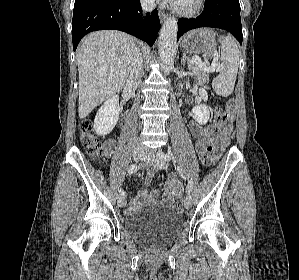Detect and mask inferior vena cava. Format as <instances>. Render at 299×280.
Wrapping results in <instances>:
<instances>
[{
	"label": "inferior vena cava",
	"instance_id": "obj_1",
	"mask_svg": "<svg viewBox=\"0 0 299 280\" xmlns=\"http://www.w3.org/2000/svg\"><path fill=\"white\" fill-rule=\"evenodd\" d=\"M142 7L145 11H152L155 0H142ZM143 74V60L139 49H135L130 63L129 82L137 83Z\"/></svg>",
	"mask_w": 299,
	"mask_h": 280
}]
</instances>
